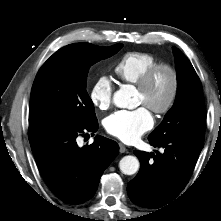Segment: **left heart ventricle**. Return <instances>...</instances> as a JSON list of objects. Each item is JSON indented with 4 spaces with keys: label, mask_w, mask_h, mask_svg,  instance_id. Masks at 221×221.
Here are the masks:
<instances>
[{
    "label": "left heart ventricle",
    "mask_w": 221,
    "mask_h": 221,
    "mask_svg": "<svg viewBox=\"0 0 221 221\" xmlns=\"http://www.w3.org/2000/svg\"><path fill=\"white\" fill-rule=\"evenodd\" d=\"M171 86V77L168 72L160 71L146 92L137 91V100L139 104L146 107H160L168 98Z\"/></svg>",
    "instance_id": "left-heart-ventricle-1"
}]
</instances>
